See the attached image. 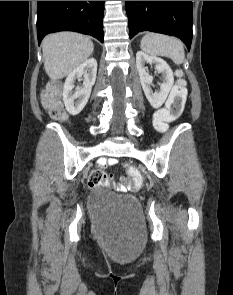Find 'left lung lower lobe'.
I'll list each match as a JSON object with an SVG mask.
<instances>
[{"instance_id":"0a47b994","label":"left lung lower lobe","mask_w":233,"mask_h":295,"mask_svg":"<svg viewBox=\"0 0 233 295\" xmlns=\"http://www.w3.org/2000/svg\"><path fill=\"white\" fill-rule=\"evenodd\" d=\"M129 37L142 31L180 38L190 50L192 1H126Z\"/></svg>"}]
</instances>
